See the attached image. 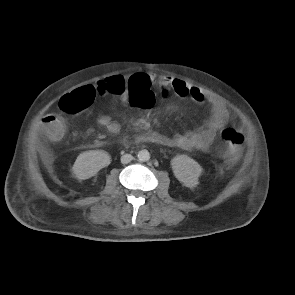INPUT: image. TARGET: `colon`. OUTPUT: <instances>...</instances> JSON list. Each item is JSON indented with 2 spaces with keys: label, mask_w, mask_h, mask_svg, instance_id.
I'll return each mask as SVG.
<instances>
[{
  "label": "colon",
  "mask_w": 295,
  "mask_h": 295,
  "mask_svg": "<svg viewBox=\"0 0 295 295\" xmlns=\"http://www.w3.org/2000/svg\"><path fill=\"white\" fill-rule=\"evenodd\" d=\"M126 91V81L121 77H113L98 82L96 85L80 87L63 96L59 102L60 114H54L45 128V134L50 140H60L66 129L65 115H74L93 103L97 95H122ZM127 99L135 110H149L154 106L156 94L151 87H127ZM224 145L222 154L230 161L239 157L244 144V135L237 129L229 127L223 130Z\"/></svg>",
  "instance_id": "1"
}]
</instances>
